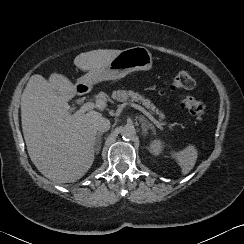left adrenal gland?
Listing matches in <instances>:
<instances>
[{"instance_id": "a2214340", "label": "left adrenal gland", "mask_w": 244, "mask_h": 244, "mask_svg": "<svg viewBox=\"0 0 244 244\" xmlns=\"http://www.w3.org/2000/svg\"><path fill=\"white\" fill-rule=\"evenodd\" d=\"M139 122L141 123L142 133L144 135H147L148 130H152L155 132L154 126L148 122V120L145 119L144 116H139Z\"/></svg>"}]
</instances>
